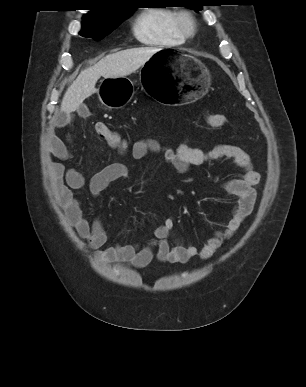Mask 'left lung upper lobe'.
I'll return each instance as SVG.
<instances>
[{"instance_id": "1", "label": "left lung upper lobe", "mask_w": 306, "mask_h": 387, "mask_svg": "<svg viewBox=\"0 0 306 387\" xmlns=\"http://www.w3.org/2000/svg\"><path fill=\"white\" fill-rule=\"evenodd\" d=\"M194 2H198V3H196L195 5L187 6V7L190 9H194L195 11L201 10L203 5L200 2H202V0H195Z\"/></svg>"}]
</instances>
